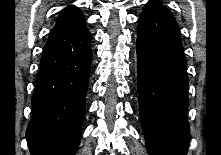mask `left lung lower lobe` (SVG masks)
<instances>
[{
	"instance_id": "left-lung-lower-lobe-1",
	"label": "left lung lower lobe",
	"mask_w": 221,
	"mask_h": 155,
	"mask_svg": "<svg viewBox=\"0 0 221 155\" xmlns=\"http://www.w3.org/2000/svg\"><path fill=\"white\" fill-rule=\"evenodd\" d=\"M187 61L179 27L159 3H147L138 20L139 111L150 155H186L189 124Z\"/></svg>"
}]
</instances>
